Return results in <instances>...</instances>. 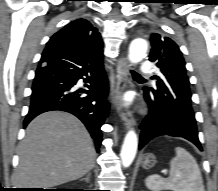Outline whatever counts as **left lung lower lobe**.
Masks as SVG:
<instances>
[{
    "label": "left lung lower lobe",
    "instance_id": "1",
    "mask_svg": "<svg viewBox=\"0 0 218 191\" xmlns=\"http://www.w3.org/2000/svg\"><path fill=\"white\" fill-rule=\"evenodd\" d=\"M144 97L149 104L150 112L141 124L139 149L148 141L160 135L183 137L194 143L200 150L195 119L191 105L182 101L168 102L163 96L144 88Z\"/></svg>",
    "mask_w": 218,
    "mask_h": 191
}]
</instances>
